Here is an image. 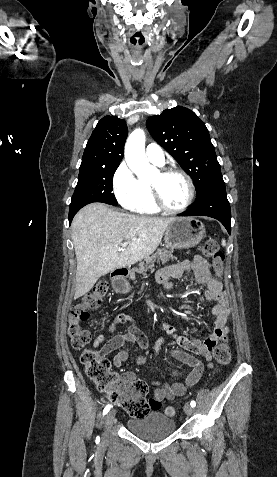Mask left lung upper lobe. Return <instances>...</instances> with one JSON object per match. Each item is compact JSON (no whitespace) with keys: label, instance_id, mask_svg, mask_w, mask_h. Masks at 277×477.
Returning <instances> with one entry per match:
<instances>
[{"label":"left lung upper lobe","instance_id":"1","mask_svg":"<svg viewBox=\"0 0 277 477\" xmlns=\"http://www.w3.org/2000/svg\"><path fill=\"white\" fill-rule=\"evenodd\" d=\"M156 142L167 150L192 178L197 196L221 175L214 146L205 124L190 109L175 107L147 120Z\"/></svg>","mask_w":277,"mask_h":477}]
</instances>
